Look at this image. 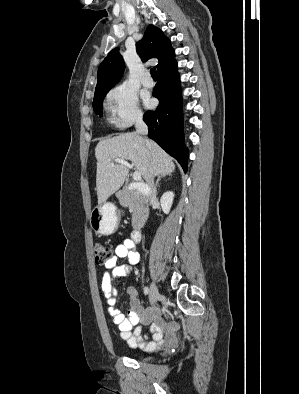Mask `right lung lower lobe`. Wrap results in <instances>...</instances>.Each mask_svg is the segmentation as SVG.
<instances>
[{"label": "right lung lower lobe", "mask_w": 299, "mask_h": 394, "mask_svg": "<svg viewBox=\"0 0 299 394\" xmlns=\"http://www.w3.org/2000/svg\"><path fill=\"white\" fill-rule=\"evenodd\" d=\"M159 80L153 96L159 100L154 111L144 114L148 136L157 142L187 170L188 149L184 144L182 96L177 62L173 60L158 71Z\"/></svg>", "instance_id": "obj_1"}]
</instances>
